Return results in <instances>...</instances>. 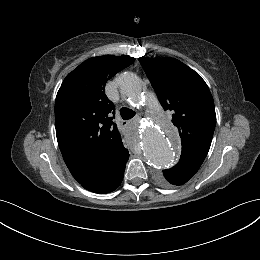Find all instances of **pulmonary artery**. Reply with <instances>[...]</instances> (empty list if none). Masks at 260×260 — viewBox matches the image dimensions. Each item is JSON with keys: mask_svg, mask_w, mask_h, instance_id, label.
Segmentation results:
<instances>
[{"mask_svg": "<svg viewBox=\"0 0 260 260\" xmlns=\"http://www.w3.org/2000/svg\"><path fill=\"white\" fill-rule=\"evenodd\" d=\"M148 104L152 107V108H156L158 106V101L157 99H155L153 96H150V98L148 99Z\"/></svg>", "mask_w": 260, "mask_h": 260, "instance_id": "obj_1", "label": "pulmonary artery"}]
</instances>
